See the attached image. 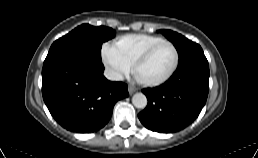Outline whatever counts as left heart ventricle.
I'll return each instance as SVG.
<instances>
[{
  "label": "left heart ventricle",
  "mask_w": 258,
  "mask_h": 158,
  "mask_svg": "<svg viewBox=\"0 0 258 158\" xmlns=\"http://www.w3.org/2000/svg\"><path fill=\"white\" fill-rule=\"evenodd\" d=\"M175 62V52L170 45L159 47L149 59L139 68L141 77L156 80L163 77Z\"/></svg>",
  "instance_id": "left-heart-ventricle-1"
}]
</instances>
